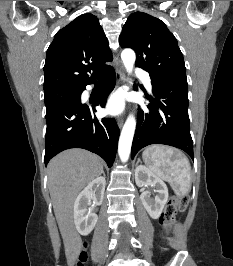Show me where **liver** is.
Wrapping results in <instances>:
<instances>
[{"instance_id":"liver-1","label":"liver","mask_w":233,"mask_h":266,"mask_svg":"<svg viewBox=\"0 0 233 266\" xmlns=\"http://www.w3.org/2000/svg\"><path fill=\"white\" fill-rule=\"evenodd\" d=\"M102 170L103 163L97 155L78 148L61 152L48 164L49 192L66 252L79 239L73 221L75 199Z\"/></svg>"}]
</instances>
